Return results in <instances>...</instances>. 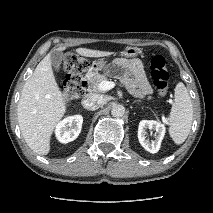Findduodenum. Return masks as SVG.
Here are the masks:
<instances>
[{
    "label": "duodenum",
    "mask_w": 213,
    "mask_h": 213,
    "mask_svg": "<svg viewBox=\"0 0 213 213\" xmlns=\"http://www.w3.org/2000/svg\"><path fill=\"white\" fill-rule=\"evenodd\" d=\"M87 85H88V82H87L86 79H84L83 80V89H84V92L86 91Z\"/></svg>",
    "instance_id": "duodenum-1"
}]
</instances>
